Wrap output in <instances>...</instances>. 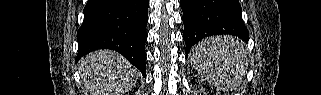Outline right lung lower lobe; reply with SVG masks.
I'll return each instance as SVG.
<instances>
[{
	"instance_id": "1",
	"label": "right lung lower lobe",
	"mask_w": 321,
	"mask_h": 95,
	"mask_svg": "<svg viewBox=\"0 0 321 95\" xmlns=\"http://www.w3.org/2000/svg\"><path fill=\"white\" fill-rule=\"evenodd\" d=\"M148 7L149 0H88L77 32V60L98 49H111L145 77Z\"/></svg>"
}]
</instances>
